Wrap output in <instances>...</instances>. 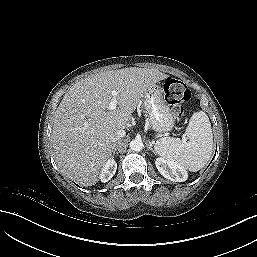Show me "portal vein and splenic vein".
I'll return each instance as SVG.
<instances>
[{
	"instance_id": "18ae733b",
	"label": "portal vein and splenic vein",
	"mask_w": 257,
	"mask_h": 257,
	"mask_svg": "<svg viewBox=\"0 0 257 257\" xmlns=\"http://www.w3.org/2000/svg\"><path fill=\"white\" fill-rule=\"evenodd\" d=\"M111 95H112V99H111V101L109 103V110H115L116 107H117V95H118V92L117 91H112Z\"/></svg>"
}]
</instances>
